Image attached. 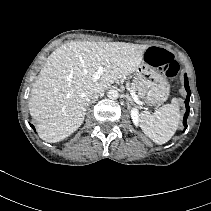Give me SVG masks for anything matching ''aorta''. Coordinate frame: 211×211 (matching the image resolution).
<instances>
[{
    "label": "aorta",
    "instance_id": "1",
    "mask_svg": "<svg viewBox=\"0 0 211 211\" xmlns=\"http://www.w3.org/2000/svg\"><path fill=\"white\" fill-rule=\"evenodd\" d=\"M107 96L109 99L115 100L119 97V93L117 90L111 89L108 91Z\"/></svg>",
    "mask_w": 211,
    "mask_h": 211
}]
</instances>
